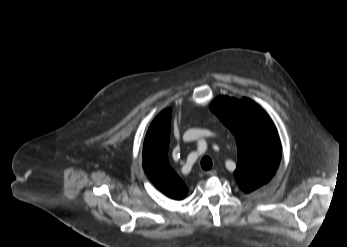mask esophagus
<instances>
[{"mask_svg":"<svg viewBox=\"0 0 347 247\" xmlns=\"http://www.w3.org/2000/svg\"><path fill=\"white\" fill-rule=\"evenodd\" d=\"M206 174L208 175V176H216L217 175V171L216 170H209V171H207L206 172Z\"/></svg>","mask_w":347,"mask_h":247,"instance_id":"esophagus-1","label":"esophagus"}]
</instances>
